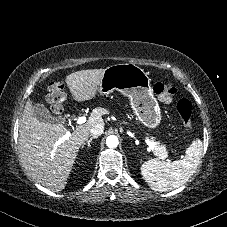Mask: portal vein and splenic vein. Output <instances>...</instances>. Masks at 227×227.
Masks as SVG:
<instances>
[{"instance_id": "1", "label": "portal vein and splenic vein", "mask_w": 227, "mask_h": 227, "mask_svg": "<svg viewBox=\"0 0 227 227\" xmlns=\"http://www.w3.org/2000/svg\"><path fill=\"white\" fill-rule=\"evenodd\" d=\"M85 122H86V117H84V116L78 117L77 120H76V123L79 124V125H81V124H83V123H85ZM70 136H71V132L68 130V131L66 132L65 139H68ZM145 141H146L147 145H148L152 150L158 148V146H157V144H156L155 142L150 141V140H148V139H146ZM164 157H165V158L167 157V153L164 155ZM181 158H182V156H181Z\"/></svg>"}]
</instances>
